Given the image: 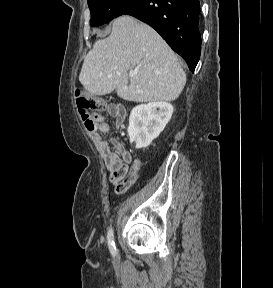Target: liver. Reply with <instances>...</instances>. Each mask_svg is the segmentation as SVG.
<instances>
[{
	"instance_id": "6515ba94",
	"label": "liver",
	"mask_w": 273,
	"mask_h": 288,
	"mask_svg": "<svg viewBox=\"0 0 273 288\" xmlns=\"http://www.w3.org/2000/svg\"><path fill=\"white\" fill-rule=\"evenodd\" d=\"M79 81L93 95L116 89L127 101L171 102L182 92L186 74L152 27L121 16L114 20L109 37L97 40L86 55Z\"/></svg>"
}]
</instances>
